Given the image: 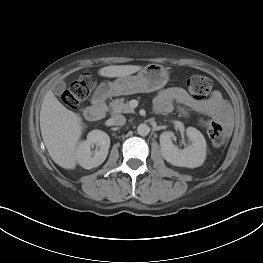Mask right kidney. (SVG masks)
I'll return each mask as SVG.
<instances>
[{
    "label": "right kidney",
    "mask_w": 263,
    "mask_h": 263,
    "mask_svg": "<svg viewBox=\"0 0 263 263\" xmlns=\"http://www.w3.org/2000/svg\"><path fill=\"white\" fill-rule=\"evenodd\" d=\"M96 145L99 150L94 153L91 147ZM110 147V138L107 133L101 130H92L87 135V140L81 142L77 147L76 159L84 169H92L101 165L107 155Z\"/></svg>",
    "instance_id": "1"
}]
</instances>
